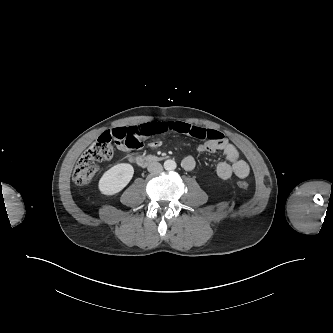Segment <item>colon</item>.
Wrapping results in <instances>:
<instances>
[{
    "label": "colon",
    "mask_w": 333,
    "mask_h": 333,
    "mask_svg": "<svg viewBox=\"0 0 333 333\" xmlns=\"http://www.w3.org/2000/svg\"><path fill=\"white\" fill-rule=\"evenodd\" d=\"M113 157V148L110 141L99 138L79 158L74 172L73 180L77 185H87L95 177L99 170L100 163L109 161ZM242 189H247L245 181H238Z\"/></svg>",
    "instance_id": "colon-1"
}]
</instances>
